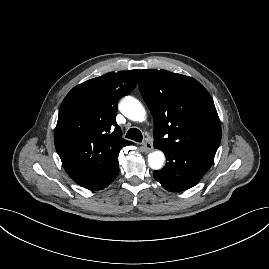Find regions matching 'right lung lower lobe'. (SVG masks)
<instances>
[{"mask_svg": "<svg viewBox=\"0 0 269 269\" xmlns=\"http://www.w3.org/2000/svg\"><path fill=\"white\" fill-rule=\"evenodd\" d=\"M119 173V164L118 158L108 166L104 172L99 175L96 179L92 182L84 185L83 187L90 189V190H101L107 187L110 183L114 181Z\"/></svg>", "mask_w": 269, "mask_h": 269, "instance_id": "right-lung-lower-lobe-1", "label": "right lung lower lobe"}]
</instances>
